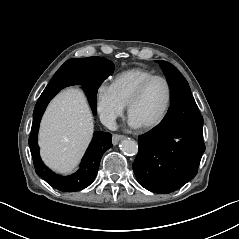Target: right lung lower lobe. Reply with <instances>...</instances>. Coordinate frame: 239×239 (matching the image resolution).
I'll use <instances>...</instances> for the list:
<instances>
[{
  "label": "right lung lower lobe",
  "mask_w": 239,
  "mask_h": 239,
  "mask_svg": "<svg viewBox=\"0 0 239 239\" xmlns=\"http://www.w3.org/2000/svg\"><path fill=\"white\" fill-rule=\"evenodd\" d=\"M113 63L101 61L98 57L74 58L67 60L58 70L59 85L48 93H42L34 112L29 146L36 173L53 188L63 192H75L88 187L97 174L100 160L106 150L111 148L112 135L95 132L93 139L82 159L79 170L70 176H61L52 172L41 160L38 146V130L42 115L50 100L63 88L81 85L92 111L96 114V94L101 83L113 72Z\"/></svg>",
  "instance_id": "right-lung-lower-lobe-1"
}]
</instances>
